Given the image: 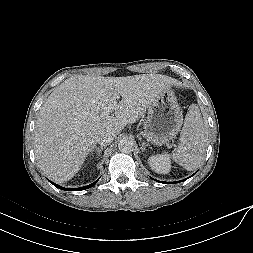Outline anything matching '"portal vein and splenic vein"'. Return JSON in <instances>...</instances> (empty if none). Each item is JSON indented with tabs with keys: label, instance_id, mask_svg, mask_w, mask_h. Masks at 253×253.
<instances>
[{
	"label": "portal vein and splenic vein",
	"instance_id": "1",
	"mask_svg": "<svg viewBox=\"0 0 253 253\" xmlns=\"http://www.w3.org/2000/svg\"><path fill=\"white\" fill-rule=\"evenodd\" d=\"M110 114V111H105L101 113V116H108Z\"/></svg>",
	"mask_w": 253,
	"mask_h": 253
}]
</instances>
